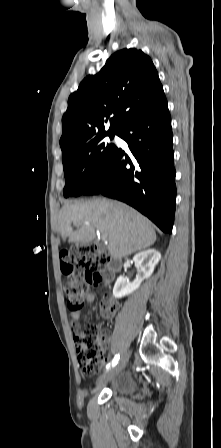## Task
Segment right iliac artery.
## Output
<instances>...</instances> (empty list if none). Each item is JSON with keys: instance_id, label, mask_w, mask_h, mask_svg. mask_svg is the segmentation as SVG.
I'll list each match as a JSON object with an SVG mask.
<instances>
[{"instance_id": "right-iliac-artery-1", "label": "right iliac artery", "mask_w": 221, "mask_h": 448, "mask_svg": "<svg viewBox=\"0 0 221 448\" xmlns=\"http://www.w3.org/2000/svg\"><path fill=\"white\" fill-rule=\"evenodd\" d=\"M119 359H120V355H119V354L115 355V357H114V359L112 360V362L109 363V364L106 366V369L108 370V369H110L111 367L115 366V365L118 363Z\"/></svg>"}]
</instances>
